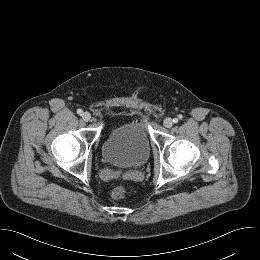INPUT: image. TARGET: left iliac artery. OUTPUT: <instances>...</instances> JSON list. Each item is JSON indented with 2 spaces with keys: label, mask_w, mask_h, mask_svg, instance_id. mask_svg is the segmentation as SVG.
<instances>
[{
  "label": "left iliac artery",
  "mask_w": 260,
  "mask_h": 260,
  "mask_svg": "<svg viewBox=\"0 0 260 260\" xmlns=\"http://www.w3.org/2000/svg\"><path fill=\"white\" fill-rule=\"evenodd\" d=\"M181 119H182V115H178V118H174L173 122L178 123V121L181 120Z\"/></svg>",
  "instance_id": "44dca946"
}]
</instances>
